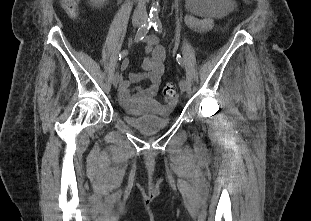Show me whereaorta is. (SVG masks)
Masks as SVG:
<instances>
[{"mask_svg": "<svg viewBox=\"0 0 311 221\" xmlns=\"http://www.w3.org/2000/svg\"><path fill=\"white\" fill-rule=\"evenodd\" d=\"M158 12H159V4H155V6H152L150 10V18H152V20H157Z\"/></svg>", "mask_w": 311, "mask_h": 221, "instance_id": "762f6f07", "label": "aorta"}]
</instances>
